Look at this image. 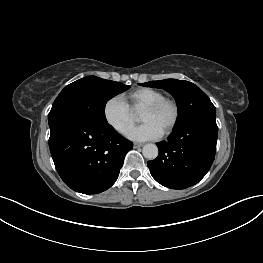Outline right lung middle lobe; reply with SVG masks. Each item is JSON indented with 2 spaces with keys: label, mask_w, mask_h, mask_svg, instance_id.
Instances as JSON below:
<instances>
[{
  "label": "right lung middle lobe",
  "mask_w": 263,
  "mask_h": 263,
  "mask_svg": "<svg viewBox=\"0 0 263 263\" xmlns=\"http://www.w3.org/2000/svg\"><path fill=\"white\" fill-rule=\"evenodd\" d=\"M120 82L87 76L67 85L55 99L48 115L49 126L61 119H83L107 124L105 105L108 100L128 90Z\"/></svg>",
  "instance_id": "dd1d6c3e"
}]
</instances>
